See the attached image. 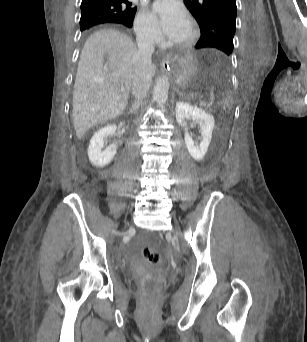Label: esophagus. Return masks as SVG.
<instances>
[{"instance_id": "obj_1", "label": "esophagus", "mask_w": 307, "mask_h": 342, "mask_svg": "<svg viewBox=\"0 0 307 342\" xmlns=\"http://www.w3.org/2000/svg\"><path fill=\"white\" fill-rule=\"evenodd\" d=\"M164 61L169 63L172 61V56L171 55H167L165 58H164Z\"/></svg>"}]
</instances>
